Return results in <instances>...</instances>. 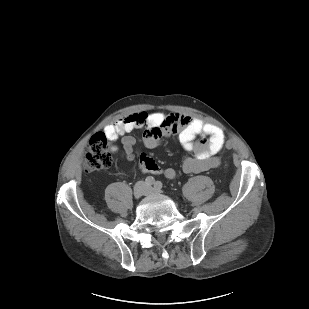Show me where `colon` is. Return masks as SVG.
Masks as SVG:
<instances>
[{
  "label": "colon",
  "mask_w": 309,
  "mask_h": 309,
  "mask_svg": "<svg viewBox=\"0 0 309 309\" xmlns=\"http://www.w3.org/2000/svg\"><path fill=\"white\" fill-rule=\"evenodd\" d=\"M226 149L232 148L231 142H225ZM112 153L105 134L95 135L83 151L82 167L85 172H95L110 167Z\"/></svg>",
  "instance_id": "obj_1"
}]
</instances>
